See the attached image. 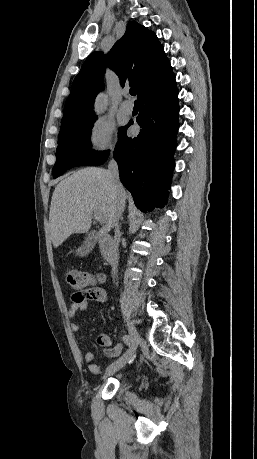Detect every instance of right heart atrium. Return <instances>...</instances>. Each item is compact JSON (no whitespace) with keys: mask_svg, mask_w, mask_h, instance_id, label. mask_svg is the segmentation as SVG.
I'll return each mask as SVG.
<instances>
[{"mask_svg":"<svg viewBox=\"0 0 257 459\" xmlns=\"http://www.w3.org/2000/svg\"><path fill=\"white\" fill-rule=\"evenodd\" d=\"M114 131V125L108 120H95L89 127L86 135L90 151L94 154L112 151Z\"/></svg>","mask_w":257,"mask_h":459,"instance_id":"1","label":"right heart atrium"}]
</instances>
